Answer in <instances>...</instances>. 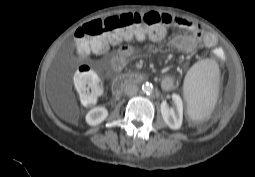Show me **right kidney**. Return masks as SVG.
Listing matches in <instances>:
<instances>
[{
  "label": "right kidney",
  "mask_w": 255,
  "mask_h": 177,
  "mask_svg": "<svg viewBox=\"0 0 255 177\" xmlns=\"http://www.w3.org/2000/svg\"><path fill=\"white\" fill-rule=\"evenodd\" d=\"M108 116V111L105 107H95L86 114V122L90 126H96L102 123Z\"/></svg>",
  "instance_id": "right-kidney-1"
}]
</instances>
